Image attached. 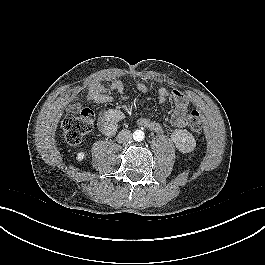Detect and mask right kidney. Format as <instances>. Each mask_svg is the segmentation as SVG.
<instances>
[{
  "instance_id": "ca27d5eb",
  "label": "right kidney",
  "mask_w": 265,
  "mask_h": 265,
  "mask_svg": "<svg viewBox=\"0 0 265 265\" xmlns=\"http://www.w3.org/2000/svg\"><path fill=\"white\" fill-rule=\"evenodd\" d=\"M86 157V152L85 151H80L79 153H77V161L81 162L85 159Z\"/></svg>"
}]
</instances>
